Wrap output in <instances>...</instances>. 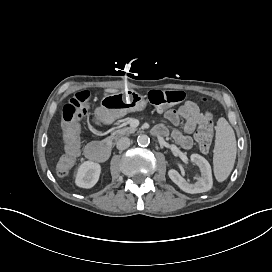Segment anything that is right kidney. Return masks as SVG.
<instances>
[{
  "label": "right kidney",
  "mask_w": 272,
  "mask_h": 272,
  "mask_svg": "<svg viewBox=\"0 0 272 272\" xmlns=\"http://www.w3.org/2000/svg\"><path fill=\"white\" fill-rule=\"evenodd\" d=\"M100 166L96 163L85 162L78 170L77 184L84 188H91L99 178Z\"/></svg>",
  "instance_id": "1"
}]
</instances>
